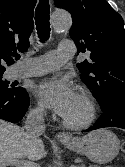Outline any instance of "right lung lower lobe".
Listing matches in <instances>:
<instances>
[{
  "instance_id": "obj_1",
  "label": "right lung lower lobe",
  "mask_w": 125,
  "mask_h": 167,
  "mask_svg": "<svg viewBox=\"0 0 125 167\" xmlns=\"http://www.w3.org/2000/svg\"><path fill=\"white\" fill-rule=\"evenodd\" d=\"M29 106V97L27 92L18 87L17 93H8L0 89V119L16 123L19 122Z\"/></svg>"
}]
</instances>
